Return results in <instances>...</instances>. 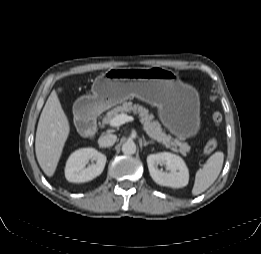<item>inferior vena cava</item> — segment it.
I'll return each mask as SVG.
<instances>
[{"label":"inferior vena cava","instance_id":"obj_1","mask_svg":"<svg viewBox=\"0 0 261 254\" xmlns=\"http://www.w3.org/2000/svg\"><path fill=\"white\" fill-rule=\"evenodd\" d=\"M117 140V136L113 134H105L100 136L98 139V144L100 147H110L112 146Z\"/></svg>","mask_w":261,"mask_h":254}]
</instances>
